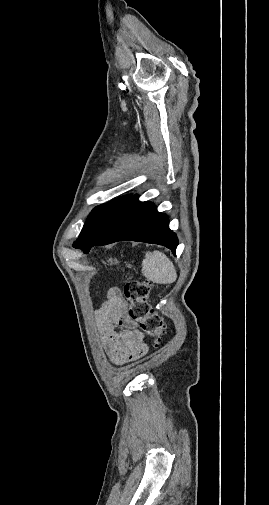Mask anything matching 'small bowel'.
<instances>
[{"instance_id": "c3829d8e", "label": "small bowel", "mask_w": 269, "mask_h": 505, "mask_svg": "<svg viewBox=\"0 0 269 505\" xmlns=\"http://www.w3.org/2000/svg\"><path fill=\"white\" fill-rule=\"evenodd\" d=\"M96 320L106 351L114 364L123 365L147 353L144 335L130 318L127 303L118 288L107 292L105 302L96 312Z\"/></svg>"}]
</instances>
